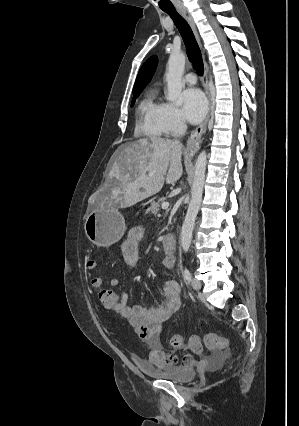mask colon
<instances>
[{"label":"colon","mask_w":299,"mask_h":426,"mask_svg":"<svg viewBox=\"0 0 299 426\" xmlns=\"http://www.w3.org/2000/svg\"><path fill=\"white\" fill-rule=\"evenodd\" d=\"M89 268H94V261L87 263ZM92 284L97 288V298L99 302L107 309L114 311L120 301V292L111 286L103 283L100 277H95ZM170 345L174 348H185L184 339L182 335L175 334L170 338ZM208 349H226L228 347V340L220 337L215 333H207L203 339L199 336H191L188 340L186 348L194 353H201L203 348Z\"/></svg>","instance_id":"1"}]
</instances>
